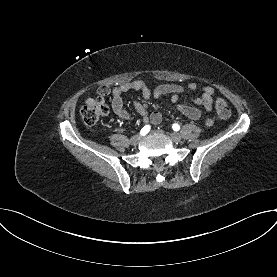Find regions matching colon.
I'll return each mask as SVG.
<instances>
[{"mask_svg": "<svg viewBox=\"0 0 277 277\" xmlns=\"http://www.w3.org/2000/svg\"><path fill=\"white\" fill-rule=\"evenodd\" d=\"M217 115L220 118L226 119L230 116V108L227 102L218 98L215 103ZM108 106L103 97L97 95L88 98L81 109V117L86 125L96 124L102 117L108 114Z\"/></svg>", "mask_w": 277, "mask_h": 277, "instance_id": "1", "label": "colon"}]
</instances>
